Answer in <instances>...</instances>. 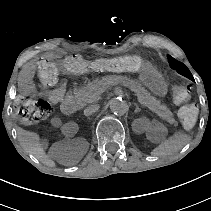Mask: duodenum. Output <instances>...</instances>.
Returning <instances> with one entry per match:
<instances>
[{
  "label": "duodenum",
  "mask_w": 211,
  "mask_h": 211,
  "mask_svg": "<svg viewBox=\"0 0 211 211\" xmlns=\"http://www.w3.org/2000/svg\"><path fill=\"white\" fill-rule=\"evenodd\" d=\"M61 110L67 115H71L76 110V103L71 98H66L61 103Z\"/></svg>",
  "instance_id": "1"
}]
</instances>
